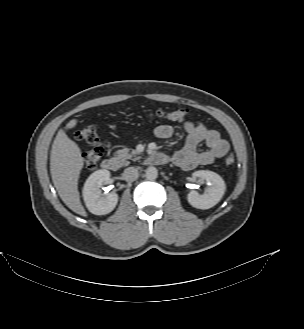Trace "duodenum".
<instances>
[{
	"mask_svg": "<svg viewBox=\"0 0 304 329\" xmlns=\"http://www.w3.org/2000/svg\"><path fill=\"white\" fill-rule=\"evenodd\" d=\"M148 162L150 164H167L170 162V158L163 153H157V154L152 155L148 159ZM102 167L109 171H117L119 168V164H118V161L114 157L108 156L103 159Z\"/></svg>",
	"mask_w": 304,
	"mask_h": 329,
	"instance_id": "duodenum-1",
	"label": "duodenum"
}]
</instances>
